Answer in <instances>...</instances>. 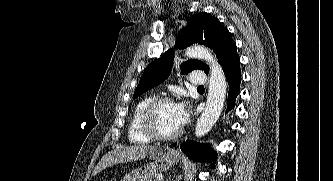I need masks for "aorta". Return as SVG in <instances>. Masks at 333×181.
Instances as JSON below:
<instances>
[{"label":"aorta","mask_w":333,"mask_h":181,"mask_svg":"<svg viewBox=\"0 0 333 181\" xmlns=\"http://www.w3.org/2000/svg\"><path fill=\"white\" fill-rule=\"evenodd\" d=\"M186 56L204 60L210 66V80L206 107L195 126V136L207 134L217 122L226 98L227 83L215 56L206 47L195 45L185 51Z\"/></svg>","instance_id":"aorta-1"}]
</instances>
